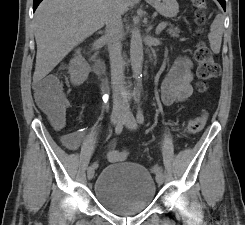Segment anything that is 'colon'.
<instances>
[{"instance_id": "obj_1", "label": "colon", "mask_w": 245, "mask_h": 225, "mask_svg": "<svg viewBox=\"0 0 245 225\" xmlns=\"http://www.w3.org/2000/svg\"><path fill=\"white\" fill-rule=\"evenodd\" d=\"M193 4L199 21L203 22V11L206 6V1L193 0ZM194 59L197 64L198 75L204 82L200 84V88L204 90L206 87L205 82L217 78L220 69L213 58L211 50L205 44H197L194 52ZM36 100L43 109L54 116L62 115L65 109L69 107L67 98L63 92L62 82L59 78H45L36 91ZM206 120V112L189 119L186 127V134L193 135L200 132L206 124ZM64 142L68 143L69 138L66 137Z\"/></svg>"}]
</instances>
